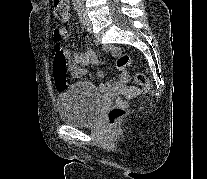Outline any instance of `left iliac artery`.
<instances>
[{
	"mask_svg": "<svg viewBox=\"0 0 207 179\" xmlns=\"http://www.w3.org/2000/svg\"><path fill=\"white\" fill-rule=\"evenodd\" d=\"M76 10H77V13H78V16H79L81 22L85 25L86 24V18H85V12H84L83 5H81V4L77 5Z\"/></svg>",
	"mask_w": 207,
	"mask_h": 179,
	"instance_id": "44dca946",
	"label": "left iliac artery"
}]
</instances>
